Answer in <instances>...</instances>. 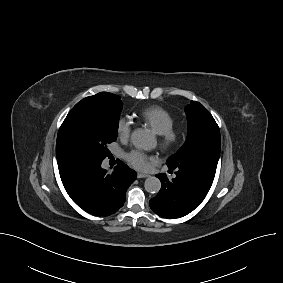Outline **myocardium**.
<instances>
[{"mask_svg":"<svg viewBox=\"0 0 283 283\" xmlns=\"http://www.w3.org/2000/svg\"><path fill=\"white\" fill-rule=\"evenodd\" d=\"M181 136V130L173 125L158 134L159 144L164 149H170L179 143Z\"/></svg>","mask_w":283,"mask_h":283,"instance_id":"f54148a6","label":"myocardium"}]
</instances>
